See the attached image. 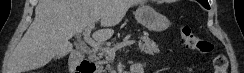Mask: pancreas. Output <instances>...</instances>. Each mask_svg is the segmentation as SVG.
<instances>
[{
    "label": "pancreas",
    "instance_id": "pancreas-1",
    "mask_svg": "<svg viewBox=\"0 0 244 73\" xmlns=\"http://www.w3.org/2000/svg\"><path fill=\"white\" fill-rule=\"evenodd\" d=\"M138 49L142 53L151 56L160 52L158 45L148 37H141ZM103 57L105 60H101ZM93 59L98 65H101L102 63H108V61H110L108 54L103 50H99L98 52L94 51Z\"/></svg>",
    "mask_w": 244,
    "mask_h": 73
}]
</instances>
